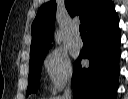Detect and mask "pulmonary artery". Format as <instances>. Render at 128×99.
<instances>
[{
    "mask_svg": "<svg viewBox=\"0 0 128 99\" xmlns=\"http://www.w3.org/2000/svg\"><path fill=\"white\" fill-rule=\"evenodd\" d=\"M74 44L77 46V47H81L83 45V42H82V39L81 37L79 36V33L76 31V34L74 36Z\"/></svg>",
    "mask_w": 128,
    "mask_h": 99,
    "instance_id": "e3ab8cb5",
    "label": "pulmonary artery"
}]
</instances>
